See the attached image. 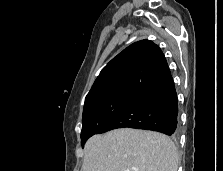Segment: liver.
Wrapping results in <instances>:
<instances>
[{
	"mask_svg": "<svg viewBox=\"0 0 223 171\" xmlns=\"http://www.w3.org/2000/svg\"><path fill=\"white\" fill-rule=\"evenodd\" d=\"M178 160L168 136L120 128L88 139L82 171H177Z\"/></svg>",
	"mask_w": 223,
	"mask_h": 171,
	"instance_id": "6515ba94",
	"label": "liver"
}]
</instances>
